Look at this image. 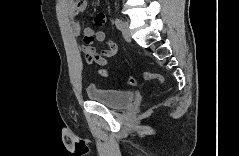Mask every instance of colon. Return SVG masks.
<instances>
[{"mask_svg":"<svg viewBox=\"0 0 239 156\" xmlns=\"http://www.w3.org/2000/svg\"><path fill=\"white\" fill-rule=\"evenodd\" d=\"M100 74L103 76H107L109 72L106 69L100 70ZM144 78L146 80H153L161 84L163 82V78L161 75L153 72H145L144 73ZM128 85L134 86L136 84V80L133 77H129L127 80Z\"/></svg>","mask_w":239,"mask_h":156,"instance_id":"1","label":"colon"}]
</instances>
